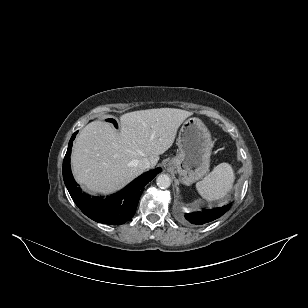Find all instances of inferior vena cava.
I'll list each match as a JSON object with an SVG mask.
<instances>
[{
  "label": "inferior vena cava",
  "instance_id": "1",
  "mask_svg": "<svg viewBox=\"0 0 308 308\" xmlns=\"http://www.w3.org/2000/svg\"><path fill=\"white\" fill-rule=\"evenodd\" d=\"M136 166L141 170H146L151 167V162L148 158H142L137 161Z\"/></svg>",
  "mask_w": 308,
  "mask_h": 308
}]
</instances>
